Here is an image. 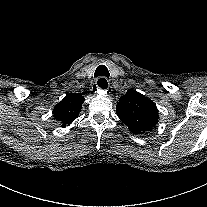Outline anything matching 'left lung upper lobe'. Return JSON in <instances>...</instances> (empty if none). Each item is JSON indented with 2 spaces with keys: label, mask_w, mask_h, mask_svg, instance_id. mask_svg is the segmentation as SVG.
Here are the masks:
<instances>
[{
  "label": "left lung upper lobe",
  "mask_w": 207,
  "mask_h": 207,
  "mask_svg": "<svg viewBox=\"0 0 207 207\" xmlns=\"http://www.w3.org/2000/svg\"><path fill=\"white\" fill-rule=\"evenodd\" d=\"M117 116L135 134L151 130L158 122V110L152 100L130 89L116 106Z\"/></svg>",
  "instance_id": "obj_1"
}]
</instances>
